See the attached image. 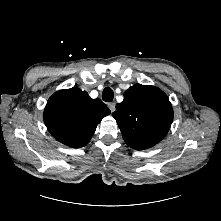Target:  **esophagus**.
<instances>
[{
	"label": "esophagus",
	"instance_id": "1",
	"mask_svg": "<svg viewBox=\"0 0 221 221\" xmlns=\"http://www.w3.org/2000/svg\"><path fill=\"white\" fill-rule=\"evenodd\" d=\"M108 107H109L111 112L115 111V103H108Z\"/></svg>",
	"mask_w": 221,
	"mask_h": 221
}]
</instances>
